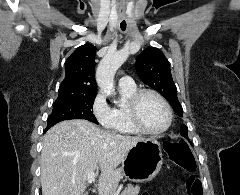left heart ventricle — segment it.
<instances>
[{
	"mask_svg": "<svg viewBox=\"0 0 240 195\" xmlns=\"http://www.w3.org/2000/svg\"><path fill=\"white\" fill-rule=\"evenodd\" d=\"M140 114L143 124L149 129H159L165 122L164 109L157 98L146 95L141 101Z\"/></svg>",
	"mask_w": 240,
	"mask_h": 195,
	"instance_id": "b2bd125f",
	"label": "left heart ventricle"
}]
</instances>
